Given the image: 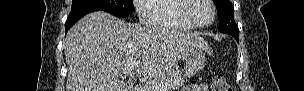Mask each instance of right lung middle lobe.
<instances>
[{"label": "right lung middle lobe", "mask_w": 304, "mask_h": 91, "mask_svg": "<svg viewBox=\"0 0 304 91\" xmlns=\"http://www.w3.org/2000/svg\"><path fill=\"white\" fill-rule=\"evenodd\" d=\"M95 7L99 10L113 14L116 17L126 18L134 12L132 0H73L72 8Z\"/></svg>", "instance_id": "right-lung-middle-lobe-1"}]
</instances>
